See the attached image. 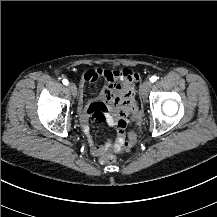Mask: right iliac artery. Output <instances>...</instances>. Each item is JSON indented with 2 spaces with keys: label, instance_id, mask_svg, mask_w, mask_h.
I'll use <instances>...</instances> for the list:
<instances>
[{
  "label": "right iliac artery",
  "instance_id": "82829eb1",
  "mask_svg": "<svg viewBox=\"0 0 217 217\" xmlns=\"http://www.w3.org/2000/svg\"><path fill=\"white\" fill-rule=\"evenodd\" d=\"M62 82H63V84L66 85V86L69 84V82H68L67 79H63Z\"/></svg>",
  "mask_w": 217,
  "mask_h": 217
}]
</instances>
